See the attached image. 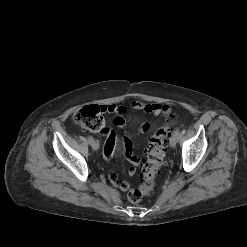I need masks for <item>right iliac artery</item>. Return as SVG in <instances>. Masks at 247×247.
I'll use <instances>...</instances> for the list:
<instances>
[{
  "instance_id": "1",
  "label": "right iliac artery",
  "mask_w": 247,
  "mask_h": 247,
  "mask_svg": "<svg viewBox=\"0 0 247 247\" xmlns=\"http://www.w3.org/2000/svg\"><path fill=\"white\" fill-rule=\"evenodd\" d=\"M93 140H94V139H93L91 136L88 137V142H89V143H91Z\"/></svg>"
}]
</instances>
